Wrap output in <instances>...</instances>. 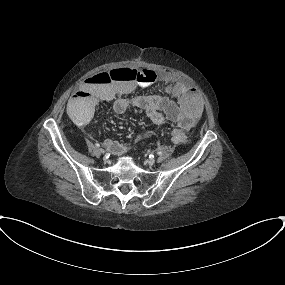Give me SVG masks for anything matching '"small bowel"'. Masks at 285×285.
<instances>
[{
    "label": "small bowel",
    "mask_w": 285,
    "mask_h": 285,
    "mask_svg": "<svg viewBox=\"0 0 285 285\" xmlns=\"http://www.w3.org/2000/svg\"><path fill=\"white\" fill-rule=\"evenodd\" d=\"M126 67H117L112 70L100 71L88 78L84 86L76 91L68 100L66 109L70 118L79 126H84L93 118L96 105L99 101L111 102L112 109L117 114L126 113L132 109L144 112L157 126L163 125L167 120L173 122L175 127L171 131L172 140L176 144L188 141L187 132L191 129L202 114L199 99L186 81L171 73L157 75L154 82L138 81L130 83L113 78L114 70ZM153 72L151 70H143ZM155 73V72H154ZM105 75L109 83H103L100 76ZM145 77V74H142ZM155 84L164 92L175 97V101L162 95H138L128 98L137 88ZM179 135L184 141L179 140ZM137 136L135 139L139 140ZM104 146L115 155H122L128 149V144L105 139Z\"/></svg>",
    "instance_id": "c3829d8e"
}]
</instances>
